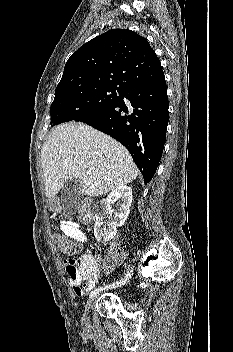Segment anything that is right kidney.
<instances>
[{"label":"right kidney","instance_id":"obj_1","mask_svg":"<svg viewBox=\"0 0 233 352\" xmlns=\"http://www.w3.org/2000/svg\"><path fill=\"white\" fill-rule=\"evenodd\" d=\"M120 199L121 203L116 210H113V220L111 223L105 225L104 214L110 209V205L114 204L116 200ZM132 203L131 187L122 185L113 190L101 206L103 212L96 215L94 235L99 242H107L114 238L117 232V227H121L128 218L130 206Z\"/></svg>","mask_w":233,"mask_h":352}]
</instances>
